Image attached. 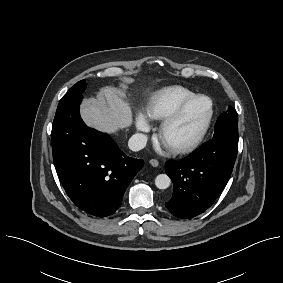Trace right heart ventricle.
Masks as SVG:
<instances>
[{
	"label": "right heart ventricle",
	"mask_w": 283,
	"mask_h": 283,
	"mask_svg": "<svg viewBox=\"0 0 283 283\" xmlns=\"http://www.w3.org/2000/svg\"><path fill=\"white\" fill-rule=\"evenodd\" d=\"M194 95L193 91L179 85L163 88L150 100L146 108V116L153 120H163Z\"/></svg>",
	"instance_id": "right-heart-ventricle-1"
}]
</instances>
